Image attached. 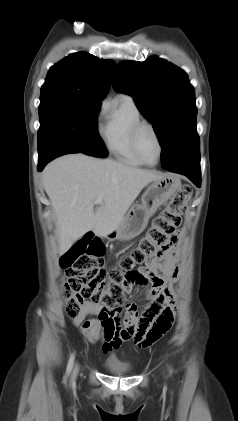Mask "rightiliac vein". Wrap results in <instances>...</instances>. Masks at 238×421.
Returning a JSON list of instances; mask_svg holds the SVG:
<instances>
[{
    "mask_svg": "<svg viewBox=\"0 0 238 421\" xmlns=\"http://www.w3.org/2000/svg\"><path fill=\"white\" fill-rule=\"evenodd\" d=\"M78 370H79L78 365H76L74 370H73V375H72L73 379L77 376Z\"/></svg>",
    "mask_w": 238,
    "mask_h": 421,
    "instance_id": "right-iliac-vein-1",
    "label": "right iliac vein"
}]
</instances>
